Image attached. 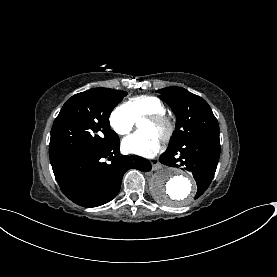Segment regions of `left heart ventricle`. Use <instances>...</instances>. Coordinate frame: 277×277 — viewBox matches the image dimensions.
I'll return each instance as SVG.
<instances>
[{
    "mask_svg": "<svg viewBox=\"0 0 277 277\" xmlns=\"http://www.w3.org/2000/svg\"><path fill=\"white\" fill-rule=\"evenodd\" d=\"M139 129L141 131H147V132H151L155 135H157L158 137L162 135L163 133V126L159 123H156L148 118H145L140 126Z\"/></svg>",
    "mask_w": 277,
    "mask_h": 277,
    "instance_id": "obj_1",
    "label": "left heart ventricle"
}]
</instances>
